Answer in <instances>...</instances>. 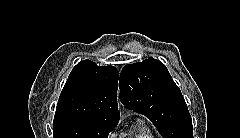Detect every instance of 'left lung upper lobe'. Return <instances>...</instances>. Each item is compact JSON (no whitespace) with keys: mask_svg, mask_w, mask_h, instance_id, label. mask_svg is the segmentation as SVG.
Masks as SVG:
<instances>
[{"mask_svg":"<svg viewBox=\"0 0 240 138\" xmlns=\"http://www.w3.org/2000/svg\"><path fill=\"white\" fill-rule=\"evenodd\" d=\"M119 87L122 103L149 118L164 138H193L186 102L162 62L148 58L124 66Z\"/></svg>","mask_w":240,"mask_h":138,"instance_id":"left-lung-upper-lobe-1","label":"left lung upper lobe"}]
</instances>
